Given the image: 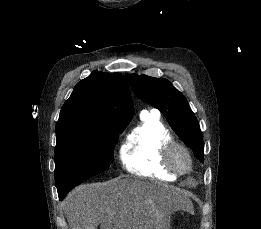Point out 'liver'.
<instances>
[{"instance_id":"obj_1","label":"liver","mask_w":261,"mask_h":229,"mask_svg":"<svg viewBox=\"0 0 261 229\" xmlns=\"http://www.w3.org/2000/svg\"><path fill=\"white\" fill-rule=\"evenodd\" d=\"M162 187L134 179L79 185L64 201L65 217L71 229H165L160 201H168L169 187ZM171 195L177 209L189 203L187 191L176 189Z\"/></svg>"}]
</instances>
